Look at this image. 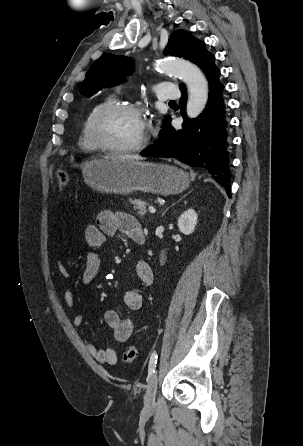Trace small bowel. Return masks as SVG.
Masks as SVG:
<instances>
[{"instance_id": "small-bowel-1", "label": "small bowel", "mask_w": 303, "mask_h": 446, "mask_svg": "<svg viewBox=\"0 0 303 446\" xmlns=\"http://www.w3.org/2000/svg\"><path fill=\"white\" fill-rule=\"evenodd\" d=\"M116 234H124L136 243L141 236H144L142 228L135 217L124 212H113L106 210L101 212L96 223L88 225L84 231V242L89 249L85 258L82 280L85 284L94 282L97 278L101 260L97 248L101 247L106 238ZM58 270L64 278L69 277V271L58 262ZM136 284L128 289L123 295L125 306L130 311H137L142 306V289L150 286L153 282V272L146 261L140 260L135 268ZM64 299L69 308L74 307V297L71 289H66ZM104 321L112 329L113 336L117 342H125L132 335L134 325L131 319L123 318L116 310H108L104 313ZM84 322V315L76 313L73 318L75 326L79 327ZM86 349L98 362L115 365L117 363V353L113 348L99 349L94 343L87 342Z\"/></svg>"}]
</instances>
